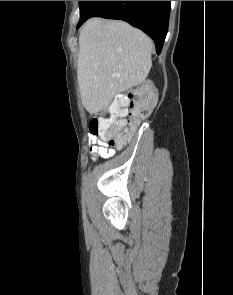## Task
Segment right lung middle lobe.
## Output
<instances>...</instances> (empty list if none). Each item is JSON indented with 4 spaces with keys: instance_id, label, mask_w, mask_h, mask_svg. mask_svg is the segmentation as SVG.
I'll use <instances>...</instances> for the list:
<instances>
[{
    "instance_id": "1",
    "label": "right lung middle lobe",
    "mask_w": 233,
    "mask_h": 295,
    "mask_svg": "<svg viewBox=\"0 0 233 295\" xmlns=\"http://www.w3.org/2000/svg\"><path fill=\"white\" fill-rule=\"evenodd\" d=\"M89 1H79L80 17L82 16Z\"/></svg>"
}]
</instances>
